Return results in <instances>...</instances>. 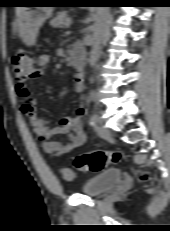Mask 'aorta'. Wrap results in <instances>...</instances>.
Segmentation results:
<instances>
[{
    "label": "aorta",
    "mask_w": 170,
    "mask_h": 231,
    "mask_svg": "<svg viewBox=\"0 0 170 231\" xmlns=\"http://www.w3.org/2000/svg\"><path fill=\"white\" fill-rule=\"evenodd\" d=\"M109 12V7H98L93 27V41L89 56V63L94 67L100 57L101 43L104 35V25Z\"/></svg>",
    "instance_id": "obj_1"
}]
</instances>
